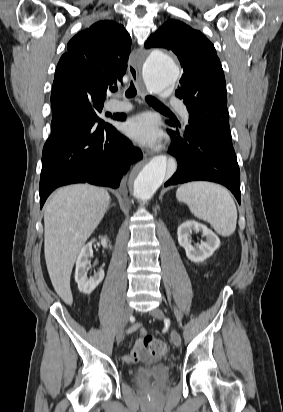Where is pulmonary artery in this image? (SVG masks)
Masks as SVG:
<instances>
[{
    "instance_id": "pulmonary-artery-1",
    "label": "pulmonary artery",
    "mask_w": 283,
    "mask_h": 412,
    "mask_svg": "<svg viewBox=\"0 0 283 412\" xmlns=\"http://www.w3.org/2000/svg\"><path fill=\"white\" fill-rule=\"evenodd\" d=\"M170 104L175 106V105L178 104V100L173 98V99L170 100ZM130 109H131V106L129 104H126V103H116V104H114L110 107V110L115 111V112H123V111H128ZM181 115H182L184 120L189 119V113L186 109L181 110Z\"/></svg>"
}]
</instances>
